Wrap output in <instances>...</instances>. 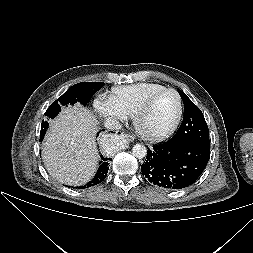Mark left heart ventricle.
I'll list each match as a JSON object with an SVG mask.
<instances>
[{
	"instance_id": "left-heart-ventricle-1",
	"label": "left heart ventricle",
	"mask_w": 253,
	"mask_h": 253,
	"mask_svg": "<svg viewBox=\"0 0 253 253\" xmlns=\"http://www.w3.org/2000/svg\"><path fill=\"white\" fill-rule=\"evenodd\" d=\"M177 113L176 97L171 92L160 95L140 120V128L148 134L165 131Z\"/></svg>"
}]
</instances>
